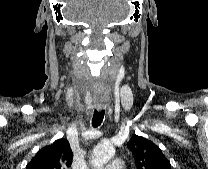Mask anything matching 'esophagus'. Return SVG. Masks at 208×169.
Returning <instances> with one entry per match:
<instances>
[{
	"mask_svg": "<svg viewBox=\"0 0 208 169\" xmlns=\"http://www.w3.org/2000/svg\"><path fill=\"white\" fill-rule=\"evenodd\" d=\"M103 108H105V106H98V110H103Z\"/></svg>",
	"mask_w": 208,
	"mask_h": 169,
	"instance_id": "34e87169",
	"label": "esophagus"
}]
</instances>
